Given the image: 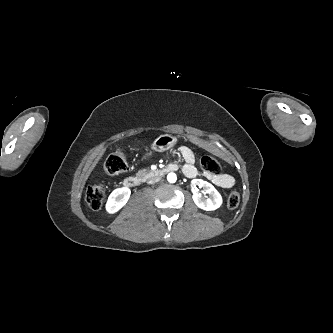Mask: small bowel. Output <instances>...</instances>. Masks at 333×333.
Returning a JSON list of instances; mask_svg holds the SVG:
<instances>
[{"label":"small bowel","instance_id":"obj_1","mask_svg":"<svg viewBox=\"0 0 333 333\" xmlns=\"http://www.w3.org/2000/svg\"><path fill=\"white\" fill-rule=\"evenodd\" d=\"M179 151L182 158L184 159V165L182 166L183 173L189 178L196 177L198 175V171L195 166V155L193 151L187 146L180 147ZM204 177L212 184L223 189H229L233 187L235 183L234 178L226 173H219L214 175L206 172L204 173Z\"/></svg>","mask_w":333,"mask_h":333}]
</instances>
